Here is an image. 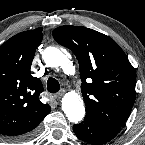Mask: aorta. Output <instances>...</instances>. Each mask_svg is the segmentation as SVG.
<instances>
[{
	"mask_svg": "<svg viewBox=\"0 0 145 145\" xmlns=\"http://www.w3.org/2000/svg\"><path fill=\"white\" fill-rule=\"evenodd\" d=\"M42 58L49 67L63 66L68 73H74L65 55L56 47H47L42 53ZM62 110L72 123L80 122L85 116L83 100L75 92H69L62 98Z\"/></svg>",
	"mask_w": 145,
	"mask_h": 145,
	"instance_id": "obj_1",
	"label": "aorta"
}]
</instances>
